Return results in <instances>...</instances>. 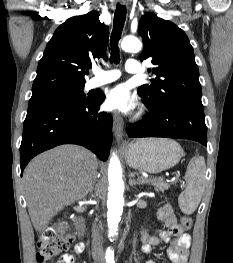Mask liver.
Instances as JSON below:
<instances>
[{"label":"liver","instance_id":"1","mask_svg":"<svg viewBox=\"0 0 233 263\" xmlns=\"http://www.w3.org/2000/svg\"><path fill=\"white\" fill-rule=\"evenodd\" d=\"M98 161L89 150L62 145L36 156L23 174L24 193L34 228L42 232L64 207L81 200L96 180Z\"/></svg>","mask_w":233,"mask_h":263}]
</instances>
